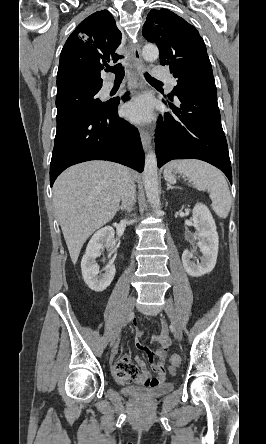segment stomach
Masks as SVG:
<instances>
[{
    "instance_id": "stomach-1",
    "label": "stomach",
    "mask_w": 266,
    "mask_h": 444,
    "mask_svg": "<svg viewBox=\"0 0 266 444\" xmlns=\"http://www.w3.org/2000/svg\"><path fill=\"white\" fill-rule=\"evenodd\" d=\"M175 173H176L175 171H172V172H171L172 175H174Z\"/></svg>"
}]
</instances>
